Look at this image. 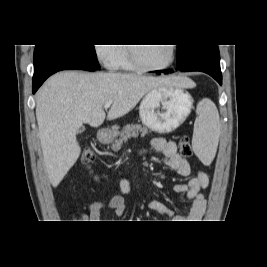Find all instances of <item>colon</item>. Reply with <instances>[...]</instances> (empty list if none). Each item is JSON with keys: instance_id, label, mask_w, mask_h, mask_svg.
Here are the masks:
<instances>
[{"instance_id": "colon-1", "label": "colon", "mask_w": 267, "mask_h": 267, "mask_svg": "<svg viewBox=\"0 0 267 267\" xmlns=\"http://www.w3.org/2000/svg\"><path fill=\"white\" fill-rule=\"evenodd\" d=\"M179 151L181 155L188 157L192 154L190 140L182 136L179 140ZM81 161L84 165L90 166L96 162V154L91 148H85L82 152Z\"/></svg>"}]
</instances>
